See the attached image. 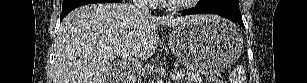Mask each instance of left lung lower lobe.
<instances>
[{
    "mask_svg": "<svg viewBox=\"0 0 307 83\" xmlns=\"http://www.w3.org/2000/svg\"><path fill=\"white\" fill-rule=\"evenodd\" d=\"M180 12H182V15L217 14L230 21L238 22L244 28L240 9L230 3L214 5L213 2L209 0H200L194 8Z\"/></svg>",
    "mask_w": 307,
    "mask_h": 83,
    "instance_id": "left-lung-lower-lobe-1",
    "label": "left lung lower lobe"
}]
</instances>
